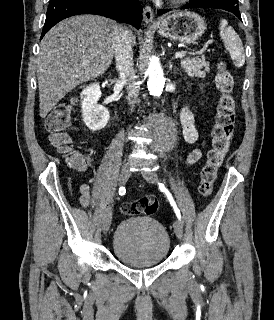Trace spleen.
Here are the masks:
<instances>
[{"label": "spleen", "instance_id": "3e777b00", "mask_svg": "<svg viewBox=\"0 0 274 320\" xmlns=\"http://www.w3.org/2000/svg\"><path fill=\"white\" fill-rule=\"evenodd\" d=\"M219 30L220 38L223 40L224 46L226 50H228L234 66H236V68H242L245 64V54L239 36H237L231 26H228L227 20H221Z\"/></svg>", "mask_w": 274, "mask_h": 320}]
</instances>
